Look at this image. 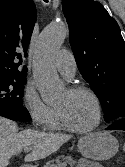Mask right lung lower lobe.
<instances>
[{
  "label": "right lung lower lobe",
  "instance_id": "98d812e1",
  "mask_svg": "<svg viewBox=\"0 0 125 167\" xmlns=\"http://www.w3.org/2000/svg\"><path fill=\"white\" fill-rule=\"evenodd\" d=\"M0 116L11 120L30 121L31 117L28 110L22 105L0 101Z\"/></svg>",
  "mask_w": 125,
  "mask_h": 167
}]
</instances>
